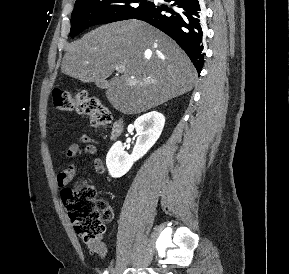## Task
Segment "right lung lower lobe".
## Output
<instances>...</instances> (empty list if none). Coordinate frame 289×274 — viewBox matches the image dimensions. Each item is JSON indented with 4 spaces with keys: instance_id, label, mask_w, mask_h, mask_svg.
Returning <instances> with one entry per match:
<instances>
[{
    "instance_id": "1",
    "label": "right lung lower lobe",
    "mask_w": 289,
    "mask_h": 274,
    "mask_svg": "<svg viewBox=\"0 0 289 274\" xmlns=\"http://www.w3.org/2000/svg\"><path fill=\"white\" fill-rule=\"evenodd\" d=\"M171 7L153 3L135 19L143 20L173 38L187 53L198 73L204 62L201 0H165Z\"/></svg>"
}]
</instances>
